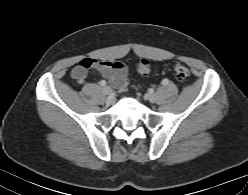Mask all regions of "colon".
<instances>
[{
    "instance_id": "5ec220e1",
    "label": "colon",
    "mask_w": 248,
    "mask_h": 195,
    "mask_svg": "<svg viewBox=\"0 0 248 195\" xmlns=\"http://www.w3.org/2000/svg\"><path fill=\"white\" fill-rule=\"evenodd\" d=\"M93 62L91 59H85L80 62L72 71L73 78H82L86 72L91 69ZM137 70L142 76L149 75L151 71V65L148 60H141L137 65ZM174 75L179 82H186L189 78V69L181 62H177L174 65ZM128 88V80L126 78L120 80L118 90L121 92L126 91Z\"/></svg>"
}]
</instances>
